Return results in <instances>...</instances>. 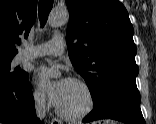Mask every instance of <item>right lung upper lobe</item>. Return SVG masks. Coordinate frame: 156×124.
I'll use <instances>...</instances> for the list:
<instances>
[{
    "label": "right lung upper lobe",
    "instance_id": "cb5924a9",
    "mask_svg": "<svg viewBox=\"0 0 156 124\" xmlns=\"http://www.w3.org/2000/svg\"><path fill=\"white\" fill-rule=\"evenodd\" d=\"M37 0H0V60L13 59L20 35L28 36L35 22Z\"/></svg>",
    "mask_w": 156,
    "mask_h": 124
}]
</instances>
